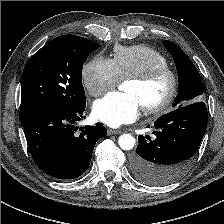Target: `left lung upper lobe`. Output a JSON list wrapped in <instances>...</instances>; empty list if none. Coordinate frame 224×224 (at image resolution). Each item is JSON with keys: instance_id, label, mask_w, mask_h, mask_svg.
<instances>
[{"instance_id": "1", "label": "left lung upper lobe", "mask_w": 224, "mask_h": 224, "mask_svg": "<svg viewBox=\"0 0 224 224\" xmlns=\"http://www.w3.org/2000/svg\"><path fill=\"white\" fill-rule=\"evenodd\" d=\"M164 46L172 54L179 75L178 96L173 104L179 107L202 100L203 85L197 68L175 43L165 40Z\"/></svg>"}]
</instances>
